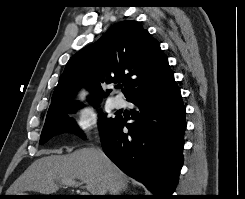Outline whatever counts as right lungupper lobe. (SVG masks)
Listing matches in <instances>:
<instances>
[{
    "label": "right lung upper lobe",
    "mask_w": 245,
    "mask_h": 199,
    "mask_svg": "<svg viewBox=\"0 0 245 199\" xmlns=\"http://www.w3.org/2000/svg\"><path fill=\"white\" fill-rule=\"evenodd\" d=\"M117 81L124 84L128 100L158 91L174 81L158 41L137 21L114 24L99 40L70 58L54 90L47 116L77 105L71 101L82 85L91 86L92 99L98 100L105 96L100 82Z\"/></svg>",
    "instance_id": "1"
}]
</instances>
